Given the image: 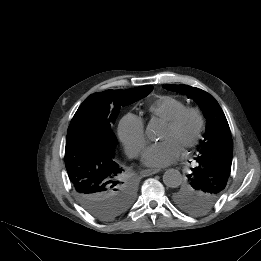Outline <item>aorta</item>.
<instances>
[{
  "instance_id": "762f6f07",
  "label": "aorta",
  "mask_w": 261,
  "mask_h": 261,
  "mask_svg": "<svg viewBox=\"0 0 261 261\" xmlns=\"http://www.w3.org/2000/svg\"><path fill=\"white\" fill-rule=\"evenodd\" d=\"M158 133V127L150 124L146 129V134L150 138H155ZM163 182L167 187L176 188L182 182L181 173L176 169H168L163 175Z\"/></svg>"
}]
</instances>
